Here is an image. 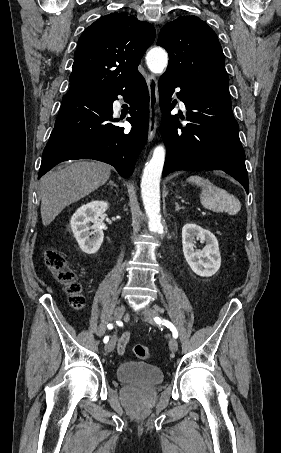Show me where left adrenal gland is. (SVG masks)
Segmentation results:
<instances>
[{
    "mask_svg": "<svg viewBox=\"0 0 281 453\" xmlns=\"http://www.w3.org/2000/svg\"><path fill=\"white\" fill-rule=\"evenodd\" d=\"M176 206H175V210H180L181 206H179L178 202H175Z\"/></svg>",
    "mask_w": 281,
    "mask_h": 453,
    "instance_id": "a2214340",
    "label": "left adrenal gland"
}]
</instances>
